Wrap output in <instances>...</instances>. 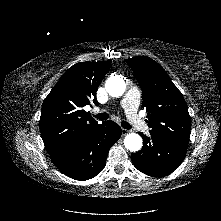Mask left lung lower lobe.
Returning a JSON list of instances; mask_svg holds the SVG:
<instances>
[{
  "label": "left lung lower lobe",
  "mask_w": 221,
  "mask_h": 221,
  "mask_svg": "<svg viewBox=\"0 0 221 221\" xmlns=\"http://www.w3.org/2000/svg\"><path fill=\"white\" fill-rule=\"evenodd\" d=\"M143 138V147L131 155L134 166L144 174L163 177L173 172L182 162L188 144L150 133Z\"/></svg>",
  "instance_id": "0a47b994"
}]
</instances>
